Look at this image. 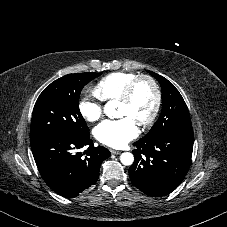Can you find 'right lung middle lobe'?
<instances>
[{
    "mask_svg": "<svg viewBox=\"0 0 227 227\" xmlns=\"http://www.w3.org/2000/svg\"><path fill=\"white\" fill-rule=\"evenodd\" d=\"M101 73L87 72L63 76L47 86L38 97L32 115L30 141L48 134L82 136L89 128L79 110L83 87Z\"/></svg>",
    "mask_w": 227,
    "mask_h": 227,
    "instance_id": "1",
    "label": "right lung middle lobe"
}]
</instances>
